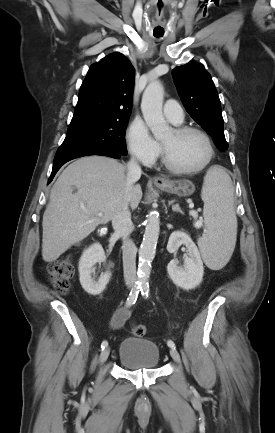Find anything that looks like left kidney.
<instances>
[{
    "mask_svg": "<svg viewBox=\"0 0 275 433\" xmlns=\"http://www.w3.org/2000/svg\"><path fill=\"white\" fill-rule=\"evenodd\" d=\"M184 244L188 249V257L183 266H178L176 260L168 263L167 271L173 283L185 290L197 287L203 278L204 268L200 252L190 236L182 231L173 232L167 244V251L174 253Z\"/></svg>",
    "mask_w": 275,
    "mask_h": 433,
    "instance_id": "5707ae66",
    "label": "left kidney"
}]
</instances>
